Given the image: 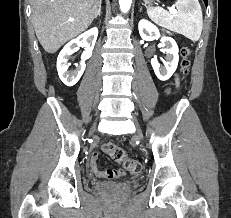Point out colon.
Masks as SVG:
<instances>
[{"mask_svg":"<svg viewBox=\"0 0 231 218\" xmlns=\"http://www.w3.org/2000/svg\"><path fill=\"white\" fill-rule=\"evenodd\" d=\"M182 62L181 67L184 75H187L190 67V59H189V49L187 47H183L181 49ZM102 149L105 153H107L113 160L119 162L123 165L124 169L130 174H137L141 171V163L135 159H132L127 156L124 149L117 146L114 143H105L102 146Z\"/></svg>","mask_w":231,"mask_h":218,"instance_id":"5ec220e1","label":"colon"}]
</instances>
